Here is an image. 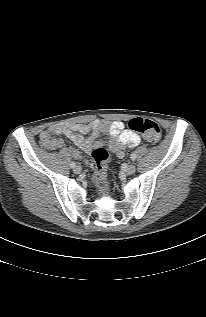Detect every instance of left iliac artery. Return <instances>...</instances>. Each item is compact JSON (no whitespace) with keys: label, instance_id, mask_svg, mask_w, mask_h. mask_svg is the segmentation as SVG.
I'll return each instance as SVG.
<instances>
[{"label":"left iliac artery","instance_id":"44dca946","mask_svg":"<svg viewBox=\"0 0 206 317\" xmlns=\"http://www.w3.org/2000/svg\"><path fill=\"white\" fill-rule=\"evenodd\" d=\"M130 158H131V160H135V159H136V154H135V153H132V154L130 155Z\"/></svg>","mask_w":206,"mask_h":317}]
</instances>
